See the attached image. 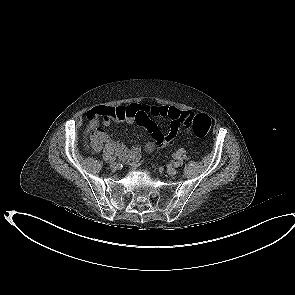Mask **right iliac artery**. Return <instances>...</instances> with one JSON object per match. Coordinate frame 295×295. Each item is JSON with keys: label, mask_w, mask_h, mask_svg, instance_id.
<instances>
[{"label": "right iliac artery", "mask_w": 295, "mask_h": 295, "mask_svg": "<svg viewBox=\"0 0 295 295\" xmlns=\"http://www.w3.org/2000/svg\"><path fill=\"white\" fill-rule=\"evenodd\" d=\"M116 160V158L113 156V157H111V159H110V161H115Z\"/></svg>", "instance_id": "82829eb1"}]
</instances>
